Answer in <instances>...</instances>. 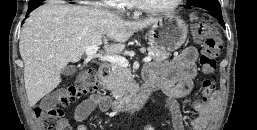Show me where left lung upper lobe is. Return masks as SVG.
Here are the masks:
<instances>
[{
  "label": "left lung upper lobe",
  "instance_id": "obj_1",
  "mask_svg": "<svg viewBox=\"0 0 257 130\" xmlns=\"http://www.w3.org/2000/svg\"><path fill=\"white\" fill-rule=\"evenodd\" d=\"M188 6H200L204 9L220 7L218 0H187Z\"/></svg>",
  "mask_w": 257,
  "mask_h": 130
}]
</instances>
